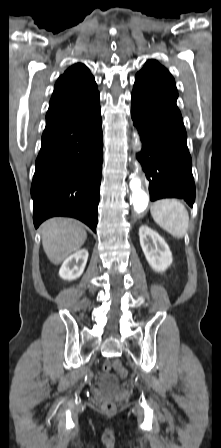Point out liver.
<instances>
[{"label": "liver", "instance_id": "liver-1", "mask_svg": "<svg viewBox=\"0 0 221 448\" xmlns=\"http://www.w3.org/2000/svg\"><path fill=\"white\" fill-rule=\"evenodd\" d=\"M42 245L48 259L60 264L84 244L86 231L72 219L52 218L41 226Z\"/></svg>", "mask_w": 221, "mask_h": 448}]
</instances>
